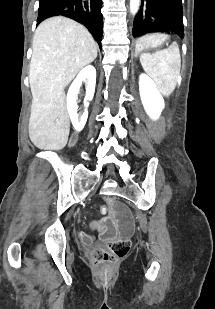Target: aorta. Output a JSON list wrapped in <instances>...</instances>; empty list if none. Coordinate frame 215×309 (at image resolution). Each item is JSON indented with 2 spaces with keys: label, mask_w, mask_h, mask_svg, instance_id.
I'll list each match as a JSON object with an SVG mask.
<instances>
[{
  "label": "aorta",
  "mask_w": 215,
  "mask_h": 309,
  "mask_svg": "<svg viewBox=\"0 0 215 309\" xmlns=\"http://www.w3.org/2000/svg\"><path fill=\"white\" fill-rule=\"evenodd\" d=\"M141 0H130V12L136 14L139 10Z\"/></svg>",
  "instance_id": "1"
}]
</instances>
